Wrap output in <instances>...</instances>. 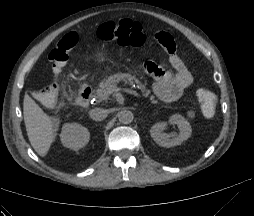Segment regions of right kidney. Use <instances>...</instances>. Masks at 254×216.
I'll use <instances>...</instances> for the list:
<instances>
[{
    "label": "right kidney",
    "instance_id": "ca27d5eb",
    "mask_svg": "<svg viewBox=\"0 0 254 216\" xmlns=\"http://www.w3.org/2000/svg\"><path fill=\"white\" fill-rule=\"evenodd\" d=\"M60 138L64 147L79 150L89 142L90 132L80 124L66 123L62 127Z\"/></svg>",
    "mask_w": 254,
    "mask_h": 216
}]
</instances>
